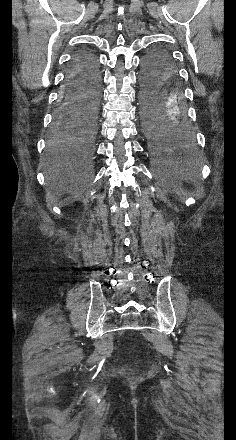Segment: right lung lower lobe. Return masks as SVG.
Returning <instances> with one entry per match:
<instances>
[{
  "instance_id": "98d812e1",
  "label": "right lung lower lobe",
  "mask_w": 236,
  "mask_h": 440,
  "mask_svg": "<svg viewBox=\"0 0 236 440\" xmlns=\"http://www.w3.org/2000/svg\"><path fill=\"white\" fill-rule=\"evenodd\" d=\"M94 81L99 84L101 81L96 56L88 50L78 52L69 66L61 102L54 115L53 130L77 127L82 119L81 111L86 105V101L81 98V90Z\"/></svg>"
}]
</instances>
